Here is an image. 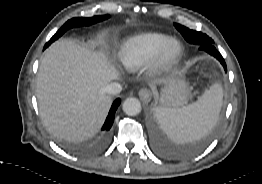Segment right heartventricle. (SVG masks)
Listing matches in <instances>:
<instances>
[{"mask_svg":"<svg viewBox=\"0 0 262 184\" xmlns=\"http://www.w3.org/2000/svg\"><path fill=\"white\" fill-rule=\"evenodd\" d=\"M172 38L163 33L145 32L127 38L121 45L118 57L128 70H136L154 59Z\"/></svg>","mask_w":262,"mask_h":184,"instance_id":"right-heart-ventricle-1","label":"right heart ventricle"}]
</instances>
